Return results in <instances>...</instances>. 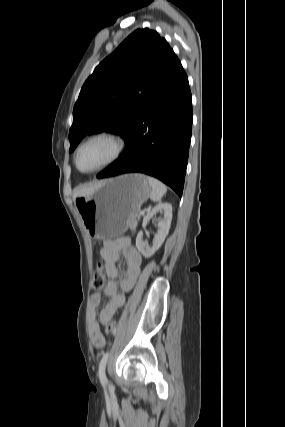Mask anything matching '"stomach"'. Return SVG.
Instances as JSON below:
<instances>
[{"mask_svg":"<svg viewBox=\"0 0 285 427\" xmlns=\"http://www.w3.org/2000/svg\"><path fill=\"white\" fill-rule=\"evenodd\" d=\"M150 191L145 175L126 174L103 181L91 195L75 198L74 204L90 235L110 239L128 229Z\"/></svg>","mask_w":285,"mask_h":427,"instance_id":"stomach-1","label":"stomach"}]
</instances>
